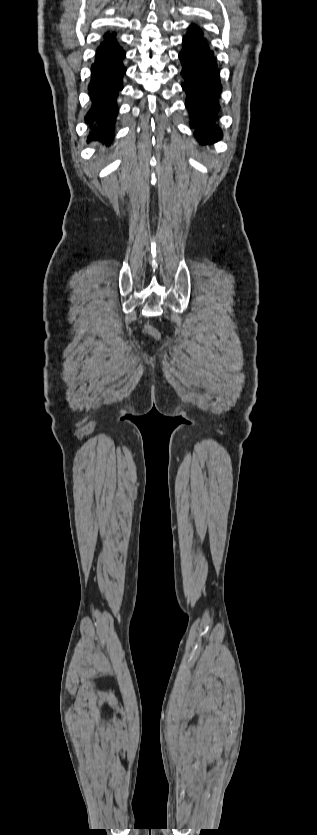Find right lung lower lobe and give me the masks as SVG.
<instances>
[{
    "label": "right lung lower lobe",
    "instance_id": "1",
    "mask_svg": "<svg viewBox=\"0 0 317 835\" xmlns=\"http://www.w3.org/2000/svg\"><path fill=\"white\" fill-rule=\"evenodd\" d=\"M124 58L125 51L116 43V39L104 36L103 43L97 48L95 63L91 66L92 79L88 89L92 107L85 116V122L91 129L88 140L106 144L113 140L118 113L117 98L123 89L126 71L122 63Z\"/></svg>",
    "mask_w": 317,
    "mask_h": 835
}]
</instances>
